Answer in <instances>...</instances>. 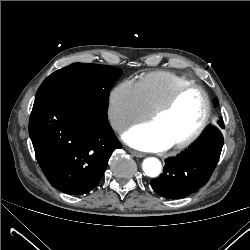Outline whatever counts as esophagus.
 Masks as SVG:
<instances>
[{"label": "esophagus", "mask_w": 250, "mask_h": 250, "mask_svg": "<svg viewBox=\"0 0 250 250\" xmlns=\"http://www.w3.org/2000/svg\"><path fill=\"white\" fill-rule=\"evenodd\" d=\"M130 153H131L132 155H134L135 157H138V158H142V157L145 156L144 153L139 152V151H136V150H130Z\"/></svg>", "instance_id": "esophagus-1"}]
</instances>
